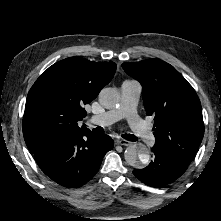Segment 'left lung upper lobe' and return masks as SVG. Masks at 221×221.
Returning a JSON list of instances; mask_svg holds the SVG:
<instances>
[{
  "label": "left lung upper lobe",
  "instance_id": "left-lung-upper-lobe-1",
  "mask_svg": "<svg viewBox=\"0 0 221 221\" xmlns=\"http://www.w3.org/2000/svg\"><path fill=\"white\" fill-rule=\"evenodd\" d=\"M143 87L146 114L153 116L154 147L190 164L204 135L200 100L193 87L160 59L123 63Z\"/></svg>",
  "mask_w": 221,
  "mask_h": 221
}]
</instances>
